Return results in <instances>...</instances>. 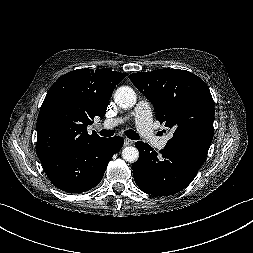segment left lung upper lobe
<instances>
[{
    "label": "left lung upper lobe",
    "instance_id": "5c2ea615",
    "mask_svg": "<svg viewBox=\"0 0 253 253\" xmlns=\"http://www.w3.org/2000/svg\"><path fill=\"white\" fill-rule=\"evenodd\" d=\"M129 78L153 104L156 119L174 131L165 147L209 149L214 133V101L201 78L178 69L139 72Z\"/></svg>",
    "mask_w": 253,
    "mask_h": 253
}]
</instances>
